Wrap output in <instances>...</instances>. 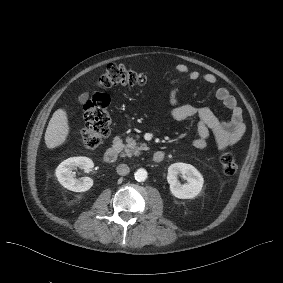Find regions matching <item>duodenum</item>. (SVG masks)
Wrapping results in <instances>:
<instances>
[{"instance_id":"1","label":"duodenum","mask_w":283,"mask_h":283,"mask_svg":"<svg viewBox=\"0 0 283 283\" xmlns=\"http://www.w3.org/2000/svg\"><path fill=\"white\" fill-rule=\"evenodd\" d=\"M122 143L119 137H115L111 146L105 151L103 159L106 163H113L117 160ZM165 154L162 151H156L152 155V160L156 163L162 162Z\"/></svg>"}]
</instances>
